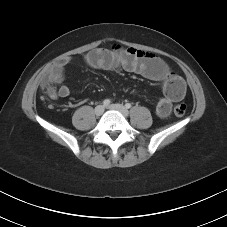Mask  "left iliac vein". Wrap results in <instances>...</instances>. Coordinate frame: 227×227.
Returning <instances> with one entry per match:
<instances>
[{
	"label": "left iliac vein",
	"mask_w": 227,
	"mask_h": 227,
	"mask_svg": "<svg viewBox=\"0 0 227 227\" xmlns=\"http://www.w3.org/2000/svg\"><path fill=\"white\" fill-rule=\"evenodd\" d=\"M108 108L120 112L124 117L128 116V110L121 104H111Z\"/></svg>",
	"instance_id": "obj_1"
}]
</instances>
